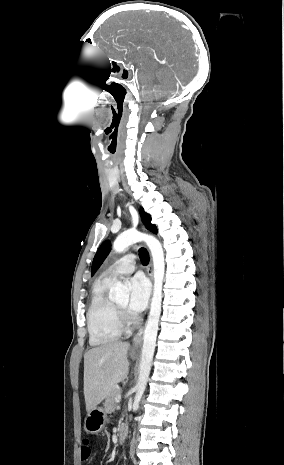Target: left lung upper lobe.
I'll return each mask as SVG.
<instances>
[{
  "label": "left lung upper lobe",
  "instance_id": "1",
  "mask_svg": "<svg viewBox=\"0 0 284 465\" xmlns=\"http://www.w3.org/2000/svg\"><path fill=\"white\" fill-rule=\"evenodd\" d=\"M140 214L142 216V220L148 230H150L153 233H157V228L155 225L151 224V217L149 214L145 213L144 210L141 208L140 209ZM111 243L110 241H104L101 246L99 247L97 253L95 254V257L93 259L92 263V269H91V274L93 275L96 270L100 267V265L103 263L104 259L107 257L109 251H110Z\"/></svg>",
  "mask_w": 284,
  "mask_h": 465
}]
</instances>
